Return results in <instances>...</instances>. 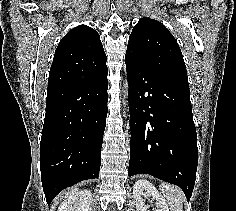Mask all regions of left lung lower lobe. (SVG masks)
Masks as SVG:
<instances>
[{
    "mask_svg": "<svg viewBox=\"0 0 236 211\" xmlns=\"http://www.w3.org/2000/svg\"><path fill=\"white\" fill-rule=\"evenodd\" d=\"M129 83L128 175L178 185L189 201L198 163L189 86L125 59Z\"/></svg>",
    "mask_w": 236,
    "mask_h": 211,
    "instance_id": "0a47b994",
    "label": "left lung lower lobe"
}]
</instances>
